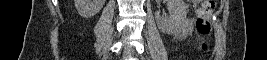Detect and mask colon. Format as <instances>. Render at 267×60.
Segmentation results:
<instances>
[{
    "label": "colon",
    "instance_id": "colon-1",
    "mask_svg": "<svg viewBox=\"0 0 267 60\" xmlns=\"http://www.w3.org/2000/svg\"><path fill=\"white\" fill-rule=\"evenodd\" d=\"M215 9V1L213 0H201L199 1V7L196 10V31L198 35L197 47L200 51L207 50V44L205 38L211 32V16Z\"/></svg>",
    "mask_w": 267,
    "mask_h": 60
}]
</instances>
